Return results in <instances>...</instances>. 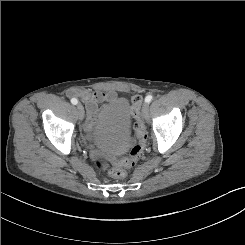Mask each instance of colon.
<instances>
[{
    "instance_id": "5ec220e1",
    "label": "colon",
    "mask_w": 245,
    "mask_h": 245,
    "mask_svg": "<svg viewBox=\"0 0 245 245\" xmlns=\"http://www.w3.org/2000/svg\"><path fill=\"white\" fill-rule=\"evenodd\" d=\"M142 98L135 95L131 98V113L135 119L134 130L137 136V143L132 147L129 157L111 162L104 156L94 152L93 160L97 168L115 178H124L127 170L134 167L143 157L147 142V132L141 113Z\"/></svg>"
}]
</instances>
